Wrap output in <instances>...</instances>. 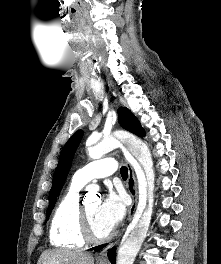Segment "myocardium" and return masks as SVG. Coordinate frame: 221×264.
Returning <instances> with one entry per match:
<instances>
[{
    "label": "myocardium",
    "instance_id": "obj_1",
    "mask_svg": "<svg viewBox=\"0 0 221 264\" xmlns=\"http://www.w3.org/2000/svg\"><path fill=\"white\" fill-rule=\"evenodd\" d=\"M79 231L83 240L87 243L98 244L108 241L113 235V229L103 236H96L91 228L85 202H81L78 210Z\"/></svg>",
    "mask_w": 221,
    "mask_h": 264
}]
</instances>
